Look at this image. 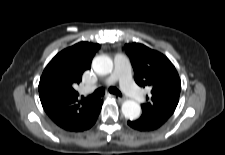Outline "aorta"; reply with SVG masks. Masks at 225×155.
I'll list each match as a JSON object with an SVG mask.
<instances>
[{
	"mask_svg": "<svg viewBox=\"0 0 225 155\" xmlns=\"http://www.w3.org/2000/svg\"><path fill=\"white\" fill-rule=\"evenodd\" d=\"M92 68L99 75H107L113 70V62L110 57L99 55L93 59ZM121 110L123 115L130 120L137 119L141 114V107L134 100L124 101Z\"/></svg>",
	"mask_w": 225,
	"mask_h": 155,
	"instance_id": "aorta-1",
	"label": "aorta"
}]
</instances>
